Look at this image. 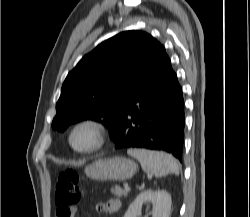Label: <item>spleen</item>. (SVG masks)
<instances>
[{"label": "spleen", "mask_w": 250, "mask_h": 217, "mask_svg": "<svg viewBox=\"0 0 250 217\" xmlns=\"http://www.w3.org/2000/svg\"><path fill=\"white\" fill-rule=\"evenodd\" d=\"M128 155L136 158L142 169L147 173H153L155 177L168 174H179V164L171 155L146 149H128Z\"/></svg>", "instance_id": "spleen-1"}]
</instances>
